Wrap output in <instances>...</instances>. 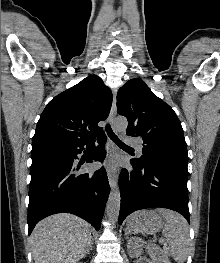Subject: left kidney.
Returning a JSON list of instances; mask_svg holds the SVG:
<instances>
[{
  "label": "left kidney",
  "instance_id": "5707ae66",
  "mask_svg": "<svg viewBox=\"0 0 220 263\" xmlns=\"http://www.w3.org/2000/svg\"><path fill=\"white\" fill-rule=\"evenodd\" d=\"M144 244H146V242L141 238L132 237L127 245L129 256L136 258L141 255ZM148 252L154 261L153 263H171L161 248L156 244H148Z\"/></svg>",
  "mask_w": 220,
  "mask_h": 263
}]
</instances>
